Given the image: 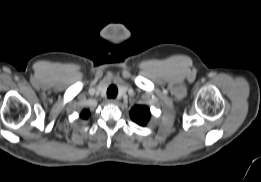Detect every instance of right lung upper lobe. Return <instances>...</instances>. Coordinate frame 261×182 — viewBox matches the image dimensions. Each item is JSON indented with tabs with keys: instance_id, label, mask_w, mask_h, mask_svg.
<instances>
[{
	"instance_id": "1",
	"label": "right lung upper lobe",
	"mask_w": 261,
	"mask_h": 182,
	"mask_svg": "<svg viewBox=\"0 0 261 182\" xmlns=\"http://www.w3.org/2000/svg\"><path fill=\"white\" fill-rule=\"evenodd\" d=\"M88 116H89V112L87 111V110H84L82 113H81V117L82 118H88Z\"/></svg>"
}]
</instances>
